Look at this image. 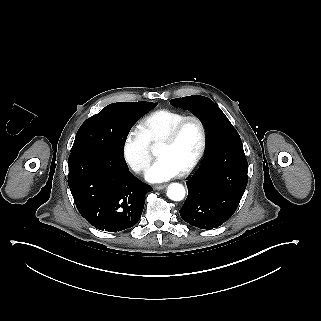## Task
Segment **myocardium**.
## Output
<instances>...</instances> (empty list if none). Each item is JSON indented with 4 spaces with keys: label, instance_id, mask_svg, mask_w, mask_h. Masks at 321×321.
Segmentation results:
<instances>
[{
    "label": "myocardium",
    "instance_id": "obj_1",
    "mask_svg": "<svg viewBox=\"0 0 321 321\" xmlns=\"http://www.w3.org/2000/svg\"><path fill=\"white\" fill-rule=\"evenodd\" d=\"M189 121H195L198 123L199 128H200V134H201V141H200V147L199 150L192 160V162L182 171V174H190L193 172L201 163L203 160L206 150H207V144H208V134H207V128L204 123V121L196 115H189L181 120H179L175 125L172 126V128L164 134L162 137H160L161 141H166V142H173L176 140L178 137L181 129L183 126L189 122Z\"/></svg>",
    "mask_w": 321,
    "mask_h": 321
}]
</instances>
